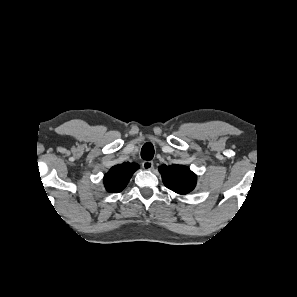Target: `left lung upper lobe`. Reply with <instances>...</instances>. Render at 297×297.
I'll return each instance as SVG.
<instances>
[{"instance_id": "5c2ea615", "label": "left lung upper lobe", "mask_w": 297, "mask_h": 297, "mask_svg": "<svg viewBox=\"0 0 297 297\" xmlns=\"http://www.w3.org/2000/svg\"><path fill=\"white\" fill-rule=\"evenodd\" d=\"M165 186L178 194H187L196 186V175L185 166L162 165L159 167Z\"/></svg>"}]
</instances>
